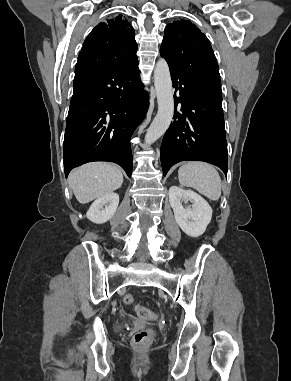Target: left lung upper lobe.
Instances as JSON below:
<instances>
[{"label": "left lung upper lobe", "mask_w": 291, "mask_h": 381, "mask_svg": "<svg viewBox=\"0 0 291 381\" xmlns=\"http://www.w3.org/2000/svg\"><path fill=\"white\" fill-rule=\"evenodd\" d=\"M160 55L170 67L203 84H220L219 67L206 35L188 20L165 27Z\"/></svg>", "instance_id": "left-lung-upper-lobe-1"}]
</instances>
